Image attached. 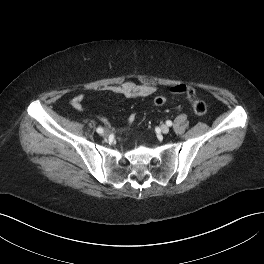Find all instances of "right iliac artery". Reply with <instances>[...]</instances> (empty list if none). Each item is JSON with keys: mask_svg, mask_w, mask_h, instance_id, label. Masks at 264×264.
Here are the masks:
<instances>
[{"mask_svg": "<svg viewBox=\"0 0 264 264\" xmlns=\"http://www.w3.org/2000/svg\"><path fill=\"white\" fill-rule=\"evenodd\" d=\"M96 131L98 132V133H103V128H101V127H98L97 129H96Z\"/></svg>", "mask_w": 264, "mask_h": 264, "instance_id": "1", "label": "right iliac artery"}]
</instances>
